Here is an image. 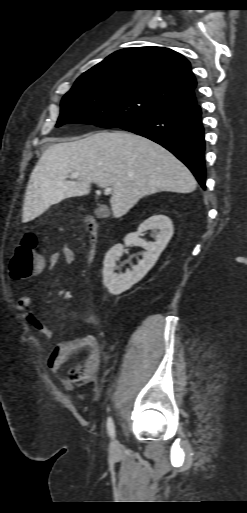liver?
Instances as JSON below:
<instances>
[{
    "mask_svg": "<svg viewBox=\"0 0 247 513\" xmlns=\"http://www.w3.org/2000/svg\"><path fill=\"white\" fill-rule=\"evenodd\" d=\"M71 173L80 176L67 180ZM92 183L112 188L115 218L124 216L144 196L196 189L190 170L163 146L130 132L100 131L43 152L30 176L24 215L38 217L66 198L87 195Z\"/></svg>",
    "mask_w": 247,
    "mask_h": 513,
    "instance_id": "obj_1",
    "label": "liver"
}]
</instances>
